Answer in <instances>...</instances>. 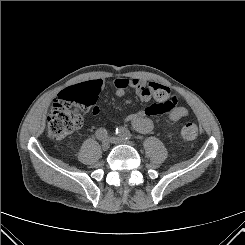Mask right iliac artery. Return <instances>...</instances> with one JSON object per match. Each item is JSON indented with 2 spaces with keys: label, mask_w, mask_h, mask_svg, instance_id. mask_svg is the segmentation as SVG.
<instances>
[{
  "label": "right iliac artery",
  "mask_w": 245,
  "mask_h": 245,
  "mask_svg": "<svg viewBox=\"0 0 245 245\" xmlns=\"http://www.w3.org/2000/svg\"><path fill=\"white\" fill-rule=\"evenodd\" d=\"M108 136V133L107 131L104 129V128H100L96 131V137L99 139V140H104L106 139Z\"/></svg>",
  "instance_id": "1"
}]
</instances>
